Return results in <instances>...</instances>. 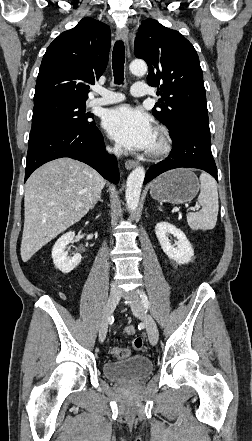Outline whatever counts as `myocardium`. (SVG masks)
I'll return each mask as SVG.
<instances>
[{"label":"myocardium","instance_id":"1","mask_svg":"<svg viewBox=\"0 0 252 441\" xmlns=\"http://www.w3.org/2000/svg\"><path fill=\"white\" fill-rule=\"evenodd\" d=\"M156 146L149 150V155L153 158H161L171 150V139L168 131L163 127H158L155 131Z\"/></svg>","mask_w":252,"mask_h":441}]
</instances>
